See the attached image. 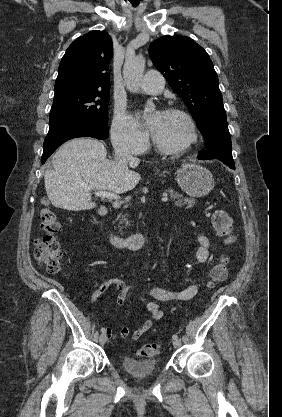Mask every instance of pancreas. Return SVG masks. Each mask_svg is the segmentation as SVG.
<instances>
[{"instance_id": "1", "label": "pancreas", "mask_w": 282, "mask_h": 417, "mask_svg": "<svg viewBox=\"0 0 282 417\" xmlns=\"http://www.w3.org/2000/svg\"><path fill=\"white\" fill-rule=\"evenodd\" d=\"M167 194H169L170 198L172 200H175V198H178V200H175V206H183V204H187L186 209H191V206H193L195 200L194 198H188V196H183V194H180V192H176V190H172V188H168V190H165ZM119 219L122 221H127L125 217H120L118 215Z\"/></svg>"}]
</instances>
